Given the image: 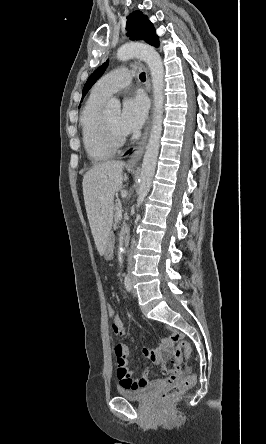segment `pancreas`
<instances>
[{
  "instance_id": "obj_1",
  "label": "pancreas",
  "mask_w": 266,
  "mask_h": 444,
  "mask_svg": "<svg viewBox=\"0 0 266 444\" xmlns=\"http://www.w3.org/2000/svg\"><path fill=\"white\" fill-rule=\"evenodd\" d=\"M119 210H120V203L116 202L115 205H114V211H115L114 219H115V222H118L117 212Z\"/></svg>"
}]
</instances>
